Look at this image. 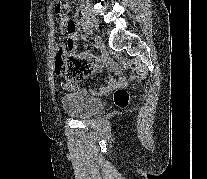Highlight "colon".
Instances as JSON below:
<instances>
[{
	"mask_svg": "<svg viewBox=\"0 0 207 179\" xmlns=\"http://www.w3.org/2000/svg\"><path fill=\"white\" fill-rule=\"evenodd\" d=\"M71 10L68 0H56L55 12L60 17L68 16ZM69 42L59 41V49L56 58V71L59 78L66 84H75L82 81L91 73V67L87 59L76 58L68 51ZM129 100L128 92L117 89L113 94V101L119 108H124Z\"/></svg>",
	"mask_w": 207,
	"mask_h": 179,
	"instance_id": "colon-1",
	"label": "colon"
}]
</instances>
